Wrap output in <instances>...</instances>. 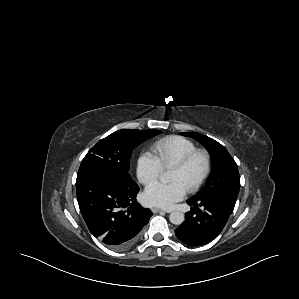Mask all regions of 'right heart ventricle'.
Instances as JSON below:
<instances>
[{
	"instance_id": "e07e8e85",
	"label": "right heart ventricle",
	"mask_w": 299,
	"mask_h": 299,
	"mask_svg": "<svg viewBox=\"0 0 299 299\" xmlns=\"http://www.w3.org/2000/svg\"><path fill=\"white\" fill-rule=\"evenodd\" d=\"M153 148L163 169H169L185 155L196 149V145L189 139L170 135L157 140Z\"/></svg>"
}]
</instances>
